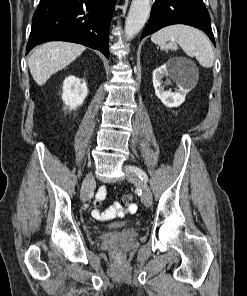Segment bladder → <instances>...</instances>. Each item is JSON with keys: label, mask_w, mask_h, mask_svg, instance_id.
Returning <instances> with one entry per match:
<instances>
[{"label": "bladder", "mask_w": 247, "mask_h": 296, "mask_svg": "<svg viewBox=\"0 0 247 296\" xmlns=\"http://www.w3.org/2000/svg\"><path fill=\"white\" fill-rule=\"evenodd\" d=\"M130 226V222H116L108 224V228L110 229H123Z\"/></svg>", "instance_id": "1"}]
</instances>
